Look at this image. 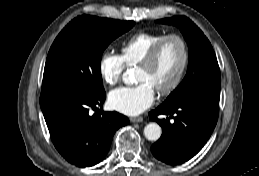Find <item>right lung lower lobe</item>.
<instances>
[{
	"label": "right lung lower lobe",
	"instance_id": "right-lung-lower-lobe-1",
	"mask_svg": "<svg viewBox=\"0 0 259 176\" xmlns=\"http://www.w3.org/2000/svg\"><path fill=\"white\" fill-rule=\"evenodd\" d=\"M106 98L105 90L83 93L75 90L43 91L40 106L58 152L78 167L93 166L108 153L114 133L127 125L126 116L96 110ZM94 110L93 115L90 110Z\"/></svg>",
	"mask_w": 259,
	"mask_h": 176
}]
</instances>
